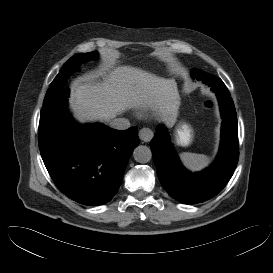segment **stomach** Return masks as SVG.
Listing matches in <instances>:
<instances>
[{
    "label": "stomach",
    "instance_id": "stomach-1",
    "mask_svg": "<svg viewBox=\"0 0 273 273\" xmlns=\"http://www.w3.org/2000/svg\"><path fill=\"white\" fill-rule=\"evenodd\" d=\"M176 142L180 146H188L192 141V128L188 123L178 126L175 132Z\"/></svg>",
    "mask_w": 273,
    "mask_h": 273
}]
</instances>
